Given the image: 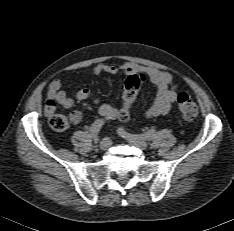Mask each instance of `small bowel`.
Segmentation results:
<instances>
[{"instance_id":"obj_1","label":"small bowel","mask_w":234,"mask_h":231,"mask_svg":"<svg viewBox=\"0 0 234 231\" xmlns=\"http://www.w3.org/2000/svg\"><path fill=\"white\" fill-rule=\"evenodd\" d=\"M138 71L145 72L156 87L155 98L147 110L145 117L152 119L168 114L177 101L179 88L169 72L154 67H143L133 62H124L120 65L97 64L91 69L90 74L92 76H99L101 74L117 75L123 72L129 75ZM75 99L79 101L92 100L98 106V112L105 122L114 121L118 118V109L106 102H102L89 88L79 89L75 94ZM57 105L65 108L73 105V99L63 89V80L60 78L54 79L49 84L44 107L45 113L47 115L53 114ZM81 119L82 113L80 111H74L70 114V120L73 124H78Z\"/></svg>"}]
</instances>
